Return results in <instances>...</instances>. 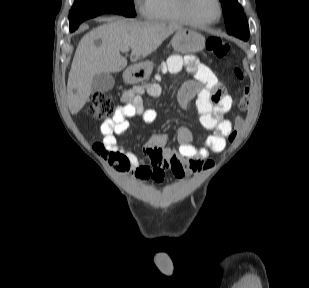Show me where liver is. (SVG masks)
I'll return each mask as SVG.
<instances>
[{
    "label": "liver",
    "instance_id": "liver-1",
    "mask_svg": "<svg viewBox=\"0 0 309 288\" xmlns=\"http://www.w3.org/2000/svg\"><path fill=\"white\" fill-rule=\"evenodd\" d=\"M180 28L177 24L117 18L86 33L76 49L67 82L71 114H77L90 100L96 75L117 73L127 66V59L120 53L122 48H131L130 60L136 62L153 53Z\"/></svg>",
    "mask_w": 309,
    "mask_h": 288
}]
</instances>
